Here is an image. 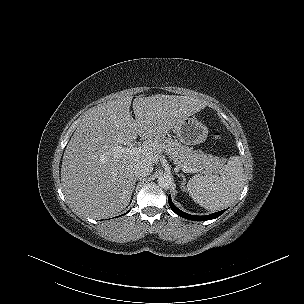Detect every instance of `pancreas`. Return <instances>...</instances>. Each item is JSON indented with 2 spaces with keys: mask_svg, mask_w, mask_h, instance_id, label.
Listing matches in <instances>:
<instances>
[{
  "mask_svg": "<svg viewBox=\"0 0 304 304\" xmlns=\"http://www.w3.org/2000/svg\"><path fill=\"white\" fill-rule=\"evenodd\" d=\"M164 151L170 156L174 164L181 169L189 167L203 173H218L222 170L224 159L203 151H195L193 148L184 146L178 141L166 139L164 141Z\"/></svg>",
  "mask_w": 304,
  "mask_h": 304,
  "instance_id": "pancreas-1",
  "label": "pancreas"
}]
</instances>
